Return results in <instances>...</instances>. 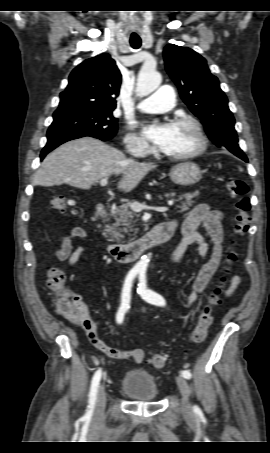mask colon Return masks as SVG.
I'll return each mask as SVG.
<instances>
[{
  "label": "colon",
  "mask_w": 270,
  "mask_h": 453,
  "mask_svg": "<svg viewBox=\"0 0 270 453\" xmlns=\"http://www.w3.org/2000/svg\"><path fill=\"white\" fill-rule=\"evenodd\" d=\"M226 187L232 196L237 198L236 202V224L235 234L238 237L244 236L250 227V210L251 201L248 197V185L240 178H230L226 182ZM74 202L62 196H54L51 200L53 209L61 212L74 213L72 207ZM236 242L233 246H236ZM238 255L235 249H232L227 256L228 267L226 272L229 273L231 267L237 262ZM227 278H221L218 286L209 294L207 302L197 317V325L192 333V341L195 344H201L207 338L208 330L213 322V311L222 302V295L224 287L226 286ZM47 288L54 294L53 305L55 310L67 317L76 318L79 316V301L65 290V273L56 266L48 269L46 275ZM166 356L163 354H152L150 356V363L157 369L166 367Z\"/></svg>",
  "instance_id": "colon-1"
}]
</instances>
